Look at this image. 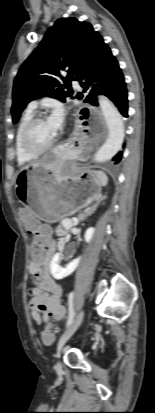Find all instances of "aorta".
<instances>
[{
	"label": "aorta",
	"instance_id": "aorta-1",
	"mask_svg": "<svg viewBox=\"0 0 155 413\" xmlns=\"http://www.w3.org/2000/svg\"><path fill=\"white\" fill-rule=\"evenodd\" d=\"M98 102L108 128V137L94 155V160L96 162H106L110 160L122 146L125 136L124 122L117 108L107 97L99 96Z\"/></svg>",
	"mask_w": 155,
	"mask_h": 413
}]
</instances>
